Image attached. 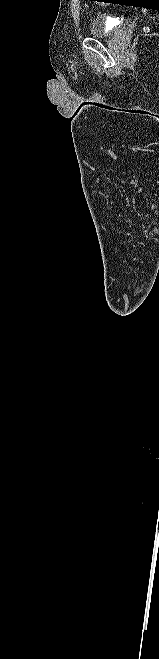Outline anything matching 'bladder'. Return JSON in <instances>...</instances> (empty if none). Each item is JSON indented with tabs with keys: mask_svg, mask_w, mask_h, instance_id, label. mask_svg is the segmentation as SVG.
<instances>
[{
	"mask_svg": "<svg viewBox=\"0 0 159 659\" xmlns=\"http://www.w3.org/2000/svg\"><path fill=\"white\" fill-rule=\"evenodd\" d=\"M118 27H112L106 19L101 16H95L88 27L89 36L92 38H111L116 34Z\"/></svg>",
	"mask_w": 159,
	"mask_h": 659,
	"instance_id": "obj_1",
	"label": "bladder"
}]
</instances>
